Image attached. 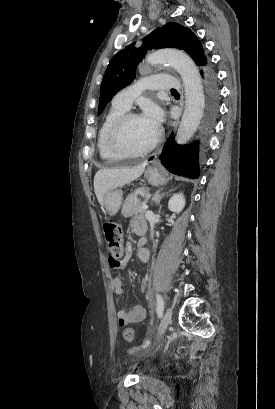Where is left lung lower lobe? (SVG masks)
<instances>
[{
  "instance_id": "left-lung-lower-lobe-1",
  "label": "left lung lower lobe",
  "mask_w": 275,
  "mask_h": 409,
  "mask_svg": "<svg viewBox=\"0 0 275 409\" xmlns=\"http://www.w3.org/2000/svg\"><path fill=\"white\" fill-rule=\"evenodd\" d=\"M207 85V113L205 120V132L209 134L215 124L218 114L219 89L216 74L209 64L205 68ZM198 142L191 145H178L175 143L173 134L165 143L160 160L162 165L171 173L185 176L191 179L199 177ZM151 157L149 160H152Z\"/></svg>"
}]
</instances>
